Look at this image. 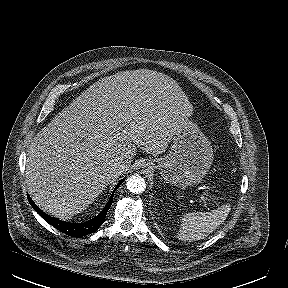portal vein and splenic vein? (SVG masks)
Returning a JSON list of instances; mask_svg holds the SVG:
<instances>
[{
  "mask_svg": "<svg viewBox=\"0 0 288 288\" xmlns=\"http://www.w3.org/2000/svg\"><path fill=\"white\" fill-rule=\"evenodd\" d=\"M204 187H205V189H209V186H205V185H204Z\"/></svg>",
  "mask_w": 288,
  "mask_h": 288,
  "instance_id": "obj_1",
  "label": "portal vein and splenic vein"
}]
</instances>
